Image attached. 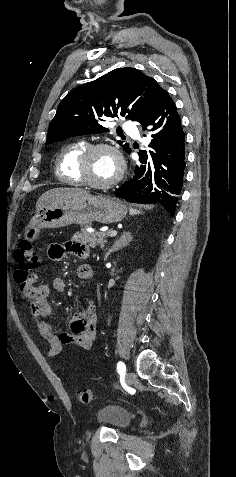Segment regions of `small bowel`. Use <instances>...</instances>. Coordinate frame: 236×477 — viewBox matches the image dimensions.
I'll use <instances>...</instances> for the list:
<instances>
[{
    "label": "small bowel",
    "mask_w": 236,
    "mask_h": 477,
    "mask_svg": "<svg viewBox=\"0 0 236 477\" xmlns=\"http://www.w3.org/2000/svg\"><path fill=\"white\" fill-rule=\"evenodd\" d=\"M68 254L83 260L90 258L89 248L80 243L68 242L65 245L53 243L48 248V256L53 261H60ZM93 275L91 265L84 263L79 266L78 276L81 280H91ZM50 287L57 293H63L66 282L60 277H54L50 281V286L35 281L33 290H23V294L31 300L30 314L36 322L37 329L50 345L48 356L56 357L65 346L90 349L96 336V313L93 301L88 299L82 302L70 321V331L59 332L51 321L52 311L46 301Z\"/></svg>",
    "instance_id": "small-bowel-1"
}]
</instances>
